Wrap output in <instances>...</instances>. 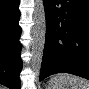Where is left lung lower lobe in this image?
I'll return each instance as SVG.
<instances>
[{
    "instance_id": "1",
    "label": "left lung lower lobe",
    "mask_w": 89,
    "mask_h": 89,
    "mask_svg": "<svg viewBox=\"0 0 89 89\" xmlns=\"http://www.w3.org/2000/svg\"><path fill=\"white\" fill-rule=\"evenodd\" d=\"M46 38L40 81L56 73L89 79V0H43Z\"/></svg>"
}]
</instances>
